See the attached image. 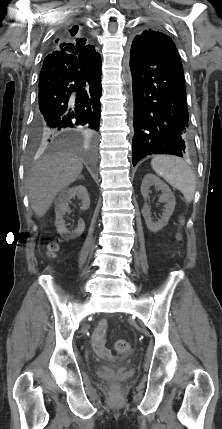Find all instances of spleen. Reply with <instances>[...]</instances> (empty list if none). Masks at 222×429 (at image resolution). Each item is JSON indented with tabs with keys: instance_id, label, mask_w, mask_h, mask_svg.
<instances>
[{
	"instance_id": "3e777b00",
	"label": "spleen",
	"mask_w": 222,
	"mask_h": 429,
	"mask_svg": "<svg viewBox=\"0 0 222 429\" xmlns=\"http://www.w3.org/2000/svg\"><path fill=\"white\" fill-rule=\"evenodd\" d=\"M151 166L159 176L179 190L188 203L193 200L196 178L184 160L170 155H157L152 159Z\"/></svg>"
}]
</instances>
